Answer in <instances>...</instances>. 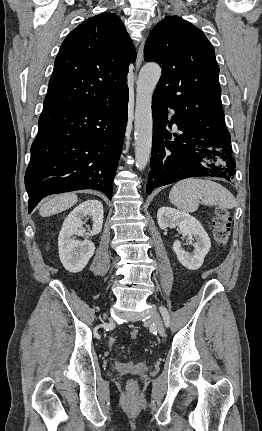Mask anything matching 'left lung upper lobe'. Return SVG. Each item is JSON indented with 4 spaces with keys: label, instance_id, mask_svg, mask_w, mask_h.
I'll list each match as a JSON object with an SVG mask.
<instances>
[{
    "label": "left lung upper lobe",
    "instance_id": "5c2ea615",
    "mask_svg": "<svg viewBox=\"0 0 262 431\" xmlns=\"http://www.w3.org/2000/svg\"><path fill=\"white\" fill-rule=\"evenodd\" d=\"M144 59L162 65L154 93L169 103L184 125L206 136L227 131L219 66L200 29L178 16L164 18L149 34Z\"/></svg>",
    "mask_w": 262,
    "mask_h": 431
}]
</instances>
